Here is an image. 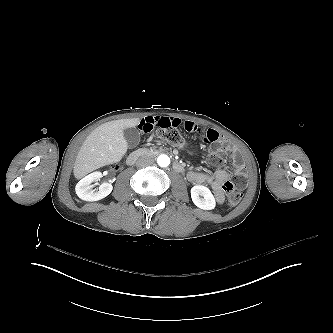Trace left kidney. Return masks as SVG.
Here are the masks:
<instances>
[{
  "instance_id": "1",
  "label": "left kidney",
  "mask_w": 333,
  "mask_h": 333,
  "mask_svg": "<svg viewBox=\"0 0 333 333\" xmlns=\"http://www.w3.org/2000/svg\"><path fill=\"white\" fill-rule=\"evenodd\" d=\"M191 198L193 203L203 210H212L215 208V198L209 188L196 185L191 189Z\"/></svg>"
}]
</instances>
